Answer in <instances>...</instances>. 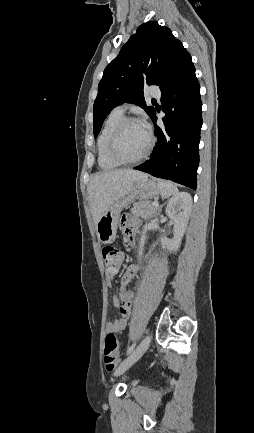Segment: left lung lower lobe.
I'll return each instance as SVG.
<instances>
[{
    "mask_svg": "<svg viewBox=\"0 0 254 433\" xmlns=\"http://www.w3.org/2000/svg\"><path fill=\"white\" fill-rule=\"evenodd\" d=\"M164 127L151 116L158 141L149 160L134 169L196 189L202 102L195 68L188 52L160 87Z\"/></svg>",
    "mask_w": 254,
    "mask_h": 433,
    "instance_id": "1",
    "label": "left lung lower lobe"
}]
</instances>
